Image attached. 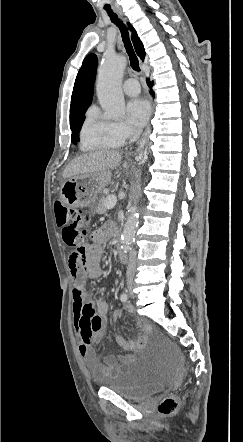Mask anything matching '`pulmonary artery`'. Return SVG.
Wrapping results in <instances>:
<instances>
[{"label": "pulmonary artery", "mask_w": 243, "mask_h": 442, "mask_svg": "<svg viewBox=\"0 0 243 442\" xmlns=\"http://www.w3.org/2000/svg\"><path fill=\"white\" fill-rule=\"evenodd\" d=\"M123 91L129 96H136L140 92V86L135 78L127 79L123 84Z\"/></svg>", "instance_id": "obj_1"}]
</instances>
